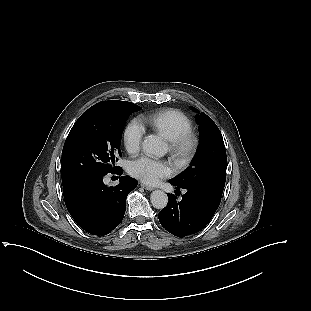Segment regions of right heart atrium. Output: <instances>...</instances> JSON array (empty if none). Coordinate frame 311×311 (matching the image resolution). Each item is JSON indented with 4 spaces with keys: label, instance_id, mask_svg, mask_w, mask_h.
Wrapping results in <instances>:
<instances>
[{
    "label": "right heart atrium",
    "instance_id": "d8ad5b80",
    "mask_svg": "<svg viewBox=\"0 0 311 311\" xmlns=\"http://www.w3.org/2000/svg\"><path fill=\"white\" fill-rule=\"evenodd\" d=\"M144 136L143 127L135 120L131 121L125 128L124 141L127 150L135 154L139 151Z\"/></svg>",
    "mask_w": 311,
    "mask_h": 311
}]
</instances>
